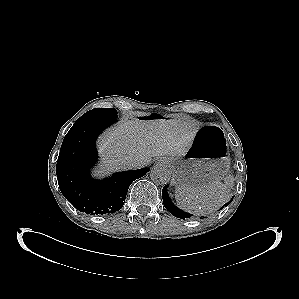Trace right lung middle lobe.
<instances>
[{
  "label": "right lung middle lobe",
  "instance_id": "obj_1",
  "mask_svg": "<svg viewBox=\"0 0 299 299\" xmlns=\"http://www.w3.org/2000/svg\"><path fill=\"white\" fill-rule=\"evenodd\" d=\"M117 111L114 108H95L82 115L75 123L94 120H116Z\"/></svg>",
  "mask_w": 299,
  "mask_h": 299
}]
</instances>
